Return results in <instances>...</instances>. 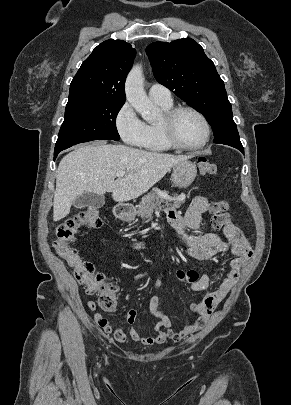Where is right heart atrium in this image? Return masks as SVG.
I'll list each match as a JSON object with an SVG mask.
<instances>
[{
  "instance_id": "right-heart-atrium-1",
  "label": "right heart atrium",
  "mask_w": 291,
  "mask_h": 405,
  "mask_svg": "<svg viewBox=\"0 0 291 405\" xmlns=\"http://www.w3.org/2000/svg\"><path fill=\"white\" fill-rule=\"evenodd\" d=\"M115 128L122 141L134 147H140L145 136V123L136 114L130 103L125 102L118 109Z\"/></svg>"
}]
</instances>
